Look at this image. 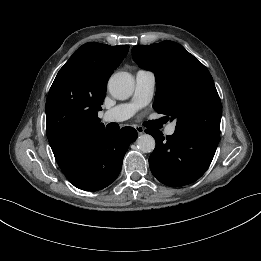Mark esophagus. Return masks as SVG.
Here are the masks:
<instances>
[{
	"label": "esophagus",
	"mask_w": 261,
	"mask_h": 261,
	"mask_svg": "<svg viewBox=\"0 0 261 261\" xmlns=\"http://www.w3.org/2000/svg\"><path fill=\"white\" fill-rule=\"evenodd\" d=\"M136 131L138 135H142L144 133V128L142 126H136Z\"/></svg>",
	"instance_id": "obj_1"
}]
</instances>
